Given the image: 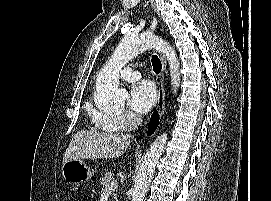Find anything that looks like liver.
Wrapping results in <instances>:
<instances>
[{
    "instance_id": "liver-1",
    "label": "liver",
    "mask_w": 271,
    "mask_h": 201,
    "mask_svg": "<svg viewBox=\"0 0 271 201\" xmlns=\"http://www.w3.org/2000/svg\"><path fill=\"white\" fill-rule=\"evenodd\" d=\"M131 143L130 135L121 132L78 131L63 157V164L76 159L117 158Z\"/></svg>"
}]
</instances>
